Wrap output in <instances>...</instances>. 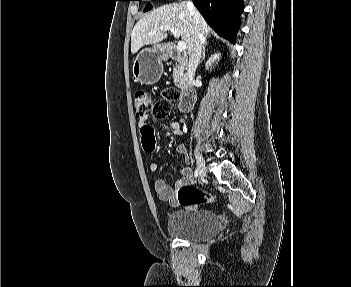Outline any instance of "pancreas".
<instances>
[{
	"instance_id": "obj_1",
	"label": "pancreas",
	"mask_w": 351,
	"mask_h": 287,
	"mask_svg": "<svg viewBox=\"0 0 351 287\" xmlns=\"http://www.w3.org/2000/svg\"><path fill=\"white\" fill-rule=\"evenodd\" d=\"M184 66L180 63L175 64L173 68V79L174 83L178 88L183 89L185 87V74H184Z\"/></svg>"
}]
</instances>
